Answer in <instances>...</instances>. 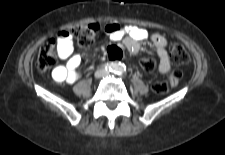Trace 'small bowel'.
Listing matches in <instances>:
<instances>
[{
    "instance_id": "c3829d8e",
    "label": "small bowel",
    "mask_w": 225,
    "mask_h": 155,
    "mask_svg": "<svg viewBox=\"0 0 225 155\" xmlns=\"http://www.w3.org/2000/svg\"><path fill=\"white\" fill-rule=\"evenodd\" d=\"M110 30L106 33L112 40L123 39L124 45L132 54L140 51L141 43L150 41L155 48L156 55L159 59L157 70L161 74H166L171 69V62L167 52L168 40L159 33L150 34L146 29L134 26H120L115 23H109ZM58 39V56L64 60L65 65H59L52 71V77L57 82L73 83L80 77L77 68L80 64L81 57L73 53L71 41V31L67 27H60L56 31ZM149 71V70H147Z\"/></svg>"
}]
</instances>
